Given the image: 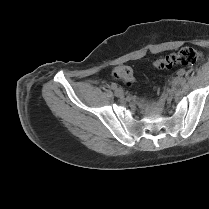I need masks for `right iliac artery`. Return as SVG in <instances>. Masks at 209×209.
<instances>
[{
	"label": "right iliac artery",
	"instance_id": "1",
	"mask_svg": "<svg viewBox=\"0 0 209 209\" xmlns=\"http://www.w3.org/2000/svg\"><path fill=\"white\" fill-rule=\"evenodd\" d=\"M111 88L114 90V89H116L117 88V84L116 83H112L111 84Z\"/></svg>",
	"mask_w": 209,
	"mask_h": 209
}]
</instances>
